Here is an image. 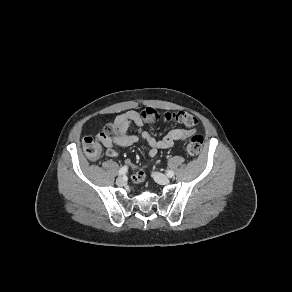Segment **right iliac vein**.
Wrapping results in <instances>:
<instances>
[{
  "mask_svg": "<svg viewBox=\"0 0 292 292\" xmlns=\"http://www.w3.org/2000/svg\"><path fill=\"white\" fill-rule=\"evenodd\" d=\"M125 183H126V180H125V178H123V177H119V178L116 180V184L119 185V186H123V185H125Z\"/></svg>",
  "mask_w": 292,
  "mask_h": 292,
  "instance_id": "1",
  "label": "right iliac vein"
}]
</instances>
